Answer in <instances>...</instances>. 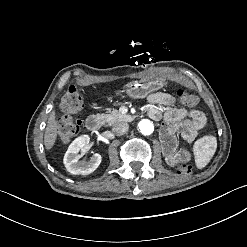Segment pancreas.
<instances>
[{
  "instance_id": "cf45deb5",
  "label": "pancreas",
  "mask_w": 247,
  "mask_h": 247,
  "mask_svg": "<svg viewBox=\"0 0 247 247\" xmlns=\"http://www.w3.org/2000/svg\"><path fill=\"white\" fill-rule=\"evenodd\" d=\"M109 125H113L117 122L126 121L127 115L120 113L118 110H113L109 114H101Z\"/></svg>"
}]
</instances>
